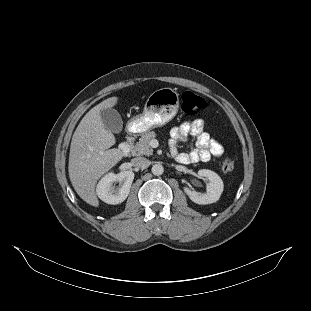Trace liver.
Masks as SVG:
<instances>
[{
	"instance_id": "obj_1",
	"label": "liver",
	"mask_w": 311,
	"mask_h": 311,
	"mask_svg": "<svg viewBox=\"0 0 311 311\" xmlns=\"http://www.w3.org/2000/svg\"><path fill=\"white\" fill-rule=\"evenodd\" d=\"M117 98L112 97L93 107L80 121L71 140L69 175L71 182L86 202L98 205L94 186L97 179L115 165L122 157L115 144L112 132L105 128L100 109L113 106Z\"/></svg>"
}]
</instances>
